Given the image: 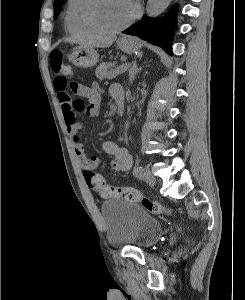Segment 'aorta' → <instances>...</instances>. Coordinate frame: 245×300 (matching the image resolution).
Listing matches in <instances>:
<instances>
[{
	"label": "aorta",
	"mask_w": 245,
	"mask_h": 300,
	"mask_svg": "<svg viewBox=\"0 0 245 300\" xmlns=\"http://www.w3.org/2000/svg\"><path fill=\"white\" fill-rule=\"evenodd\" d=\"M172 0H148L146 12L150 17H156L163 13Z\"/></svg>",
	"instance_id": "aorta-1"
}]
</instances>
